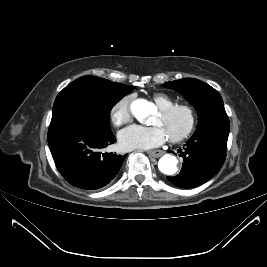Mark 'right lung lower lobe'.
<instances>
[{
    "label": "right lung lower lobe",
    "instance_id": "obj_1",
    "mask_svg": "<svg viewBox=\"0 0 267 267\" xmlns=\"http://www.w3.org/2000/svg\"><path fill=\"white\" fill-rule=\"evenodd\" d=\"M116 142L112 133L81 125H67L48 132L56 167L71 185L95 190L106 186L120 170L124 157L102 153Z\"/></svg>",
    "mask_w": 267,
    "mask_h": 267
}]
</instances>
